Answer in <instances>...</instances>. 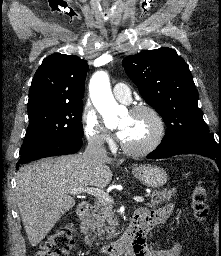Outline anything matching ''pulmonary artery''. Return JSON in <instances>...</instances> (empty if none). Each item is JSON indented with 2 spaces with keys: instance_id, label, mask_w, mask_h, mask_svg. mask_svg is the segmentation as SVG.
I'll return each instance as SVG.
<instances>
[{
  "instance_id": "e3ab8cb5",
  "label": "pulmonary artery",
  "mask_w": 221,
  "mask_h": 256,
  "mask_svg": "<svg viewBox=\"0 0 221 256\" xmlns=\"http://www.w3.org/2000/svg\"><path fill=\"white\" fill-rule=\"evenodd\" d=\"M115 98L121 102L127 103L131 100L130 88L124 83H117L113 87Z\"/></svg>"
}]
</instances>
